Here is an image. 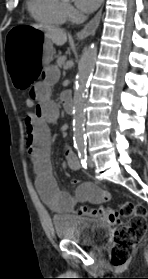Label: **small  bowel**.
Here are the masks:
<instances>
[{
    "mask_svg": "<svg viewBox=\"0 0 148 279\" xmlns=\"http://www.w3.org/2000/svg\"><path fill=\"white\" fill-rule=\"evenodd\" d=\"M58 78L59 70L56 67H47L42 71L41 81L29 91L37 104L25 117L26 146L37 175L36 187L39 194L52 211L67 214L71 213L78 203H100L108 200L110 194L93 183L80 184L78 179L72 181L78 187L74 194H70L60 190L52 174L49 125L57 121L59 108L51 99V86ZM65 159L70 169H80L79 160L73 151L67 149Z\"/></svg>",
    "mask_w": 148,
    "mask_h": 279,
    "instance_id": "c3829d8e",
    "label": "small bowel"
}]
</instances>
